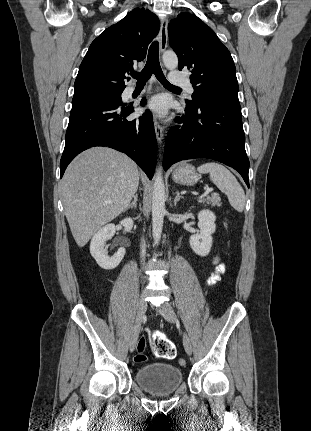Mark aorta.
Returning <instances> with one entry per match:
<instances>
[{
  "label": "aorta",
  "mask_w": 311,
  "mask_h": 431,
  "mask_svg": "<svg viewBox=\"0 0 311 431\" xmlns=\"http://www.w3.org/2000/svg\"><path fill=\"white\" fill-rule=\"evenodd\" d=\"M163 62L167 70H176L178 66V58L175 52H164ZM165 184L162 176V168H157L154 176L153 192H152V231L154 243H159L165 216Z\"/></svg>",
  "instance_id": "obj_1"
}]
</instances>
